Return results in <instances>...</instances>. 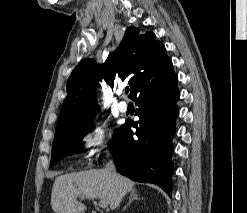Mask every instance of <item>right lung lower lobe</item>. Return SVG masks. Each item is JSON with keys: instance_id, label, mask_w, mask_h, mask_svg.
<instances>
[{"instance_id": "1", "label": "right lung lower lobe", "mask_w": 247, "mask_h": 213, "mask_svg": "<svg viewBox=\"0 0 247 213\" xmlns=\"http://www.w3.org/2000/svg\"><path fill=\"white\" fill-rule=\"evenodd\" d=\"M177 75L172 66L140 87L132 100L139 106L136 123L126 121L109 147L117 171L132 180L154 183L172 196V138L178 116ZM137 131L130 130L131 126Z\"/></svg>"}]
</instances>
